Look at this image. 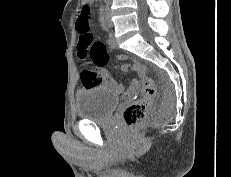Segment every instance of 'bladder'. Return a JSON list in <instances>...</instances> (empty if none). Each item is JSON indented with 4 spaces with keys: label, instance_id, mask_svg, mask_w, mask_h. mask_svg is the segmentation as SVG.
Masks as SVG:
<instances>
[{
    "label": "bladder",
    "instance_id": "obj_1",
    "mask_svg": "<svg viewBox=\"0 0 231 177\" xmlns=\"http://www.w3.org/2000/svg\"><path fill=\"white\" fill-rule=\"evenodd\" d=\"M119 103L118 95L104 86H91L76 94V114L81 120L102 122L107 120Z\"/></svg>",
    "mask_w": 231,
    "mask_h": 177
}]
</instances>
